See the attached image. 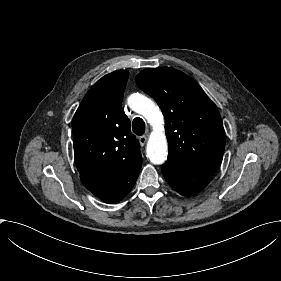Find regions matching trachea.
<instances>
[{
    "instance_id": "3493384b",
    "label": "trachea",
    "mask_w": 281,
    "mask_h": 281,
    "mask_svg": "<svg viewBox=\"0 0 281 281\" xmlns=\"http://www.w3.org/2000/svg\"><path fill=\"white\" fill-rule=\"evenodd\" d=\"M145 122L142 118H139V117H136L134 120H133V123H132V129H133V132L136 134V135H143L144 132H145Z\"/></svg>"
}]
</instances>
